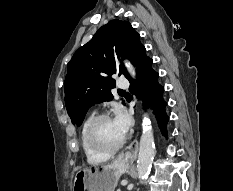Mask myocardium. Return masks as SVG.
I'll use <instances>...</instances> for the list:
<instances>
[{
	"instance_id": "f54148a6",
	"label": "myocardium",
	"mask_w": 233,
	"mask_h": 191,
	"mask_svg": "<svg viewBox=\"0 0 233 191\" xmlns=\"http://www.w3.org/2000/svg\"><path fill=\"white\" fill-rule=\"evenodd\" d=\"M106 119H111L110 115L106 113H102V114H99L93 117L87 126L86 133H85V140H86V144L88 148L93 153L97 155L109 157L115 154L118 150H120L123 147V145L125 144V137H123V139L118 144H116L115 146L111 148H105V147L100 146L95 140V130H96L97 125L101 121L106 120Z\"/></svg>"
}]
</instances>
